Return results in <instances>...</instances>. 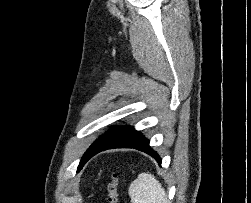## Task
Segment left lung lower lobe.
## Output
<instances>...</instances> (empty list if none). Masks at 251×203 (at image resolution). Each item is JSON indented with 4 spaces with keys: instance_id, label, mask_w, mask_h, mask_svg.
I'll return each mask as SVG.
<instances>
[{
    "instance_id": "0a47b994",
    "label": "left lung lower lobe",
    "mask_w": 251,
    "mask_h": 203,
    "mask_svg": "<svg viewBox=\"0 0 251 203\" xmlns=\"http://www.w3.org/2000/svg\"><path fill=\"white\" fill-rule=\"evenodd\" d=\"M112 148H134L149 154L158 162L159 165L161 164V158L157 154V152L152 150V148L149 146V140L134 128L129 127L117 134L107 143L97 148L94 152H92L84 160L83 164H85L91 157H93L97 153ZM83 164L80 166V168L83 166Z\"/></svg>"
}]
</instances>
